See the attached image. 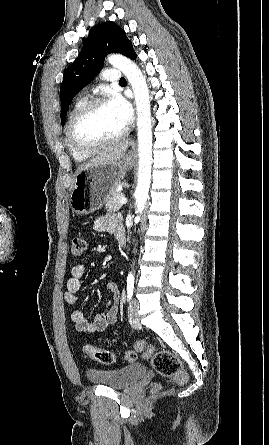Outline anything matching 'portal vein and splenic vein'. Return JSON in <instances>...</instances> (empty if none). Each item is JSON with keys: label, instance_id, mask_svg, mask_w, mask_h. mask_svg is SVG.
Segmentation results:
<instances>
[{"label": "portal vein and splenic vein", "instance_id": "obj_1", "mask_svg": "<svg viewBox=\"0 0 269 445\" xmlns=\"http://www.w3.org/2000/svg\"><path fill=\"white\" fill-rule=\"evenodd\" d=\"M120 203H121V204H126V203H127V198L122 197V198L120 199Z\"/></svg>", "mask_w": 269, "mask_h": 445}]
</instances>
